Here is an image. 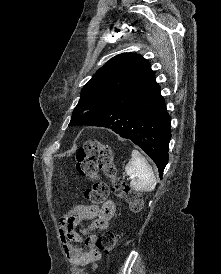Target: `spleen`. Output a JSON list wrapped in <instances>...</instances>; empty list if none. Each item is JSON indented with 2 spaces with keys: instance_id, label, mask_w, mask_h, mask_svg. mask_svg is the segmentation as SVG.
I'll use <instances>...</instances> for the list:
<instances>
[{
  "instance_id": "1",
  "label": "spleen",
  "mask_w": 221,
  "mask_h": 274,
  "mask_svg": "<svg viewBox=\"0 0 221 274\" xmlns=\"http://www.w3.org/2000/svg\"><path fill=\"white\" fill-rule=\"evenodd\" d=\"M126 174L131 179V187L137 191L151 192L156 185L152 167L139 151H132V158L125 167Z\"/></svg>"
}]
</instances>
